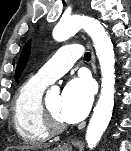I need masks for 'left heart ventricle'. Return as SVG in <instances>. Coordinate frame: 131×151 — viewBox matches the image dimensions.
Returning <instances> with one entry per match:
<instances>
[{
    "instance_id": "b2bd125f",
    "label": "left heart ventricle",
    "mask_w": 131,
    "mask_h": 151,
    "mask_svg": "<svg viewBox=\"0 0 131 151\" xmlns=\"http://www.w3.org/2000/svg\"><path fill=\"white\" fill-rule=\"evenodd\" d=\"M47 104L51 112L55 115L57 119L63 121L60 117V105H61V95L53 94L47 98Z\"/></svg>"
}]
</instances>
